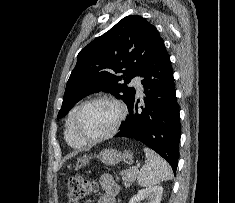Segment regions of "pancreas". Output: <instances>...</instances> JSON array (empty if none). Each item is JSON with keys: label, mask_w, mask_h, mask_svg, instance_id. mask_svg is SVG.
I'll return each instance as SVG.
<instances>
[{"label": "pancreas", "mask_w": 235, "mask_h": 203, "mask_svg": "<svg viewBox=\"0 0 235 203\" xmlns=\"http://www.w3.org/2000/svg\"><path fill=\"white\" fill-rule=\"evenodd\" d=\"M133 168H129L128 170H124L120 172L122 180L124 181L125 186H130L136 179V174Z\"/></svg>", "instance_id": "cf45deb5"}]
</instances>
